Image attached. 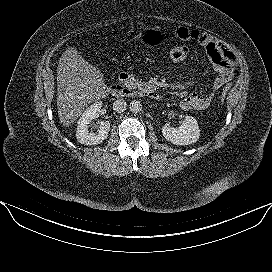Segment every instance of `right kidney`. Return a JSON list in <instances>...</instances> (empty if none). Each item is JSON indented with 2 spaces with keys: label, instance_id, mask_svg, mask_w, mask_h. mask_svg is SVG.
Wrapping results in <instances>:
<instances>
[{
  "label": "right kidney",
  "instance_id": "obj_1",
  "mask_svg": "<svg viewBox=\"0 0 272 272\" xmlns=\"http://www.w3.org/2000/svg\"><path fill=\"white\" fill-rule=\"evenodd\" d=\"M102 102L97 101L88 107L80 119L78 120V126L76 131V137L78 142L85 145L100 144L108 137L110 131V122L101 121L98 129V133L89 132V124L93 119L99 117Z\"/></svg>",
  "mask_w": 272,
  "mask_h": 272
}]
</instances>
